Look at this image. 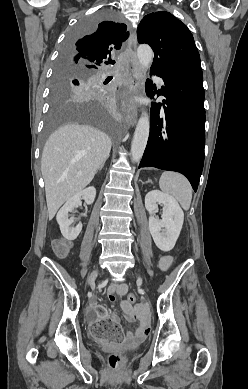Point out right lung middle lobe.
Instances as JSON below:
<instances>
[{
	"instance_id": "dd1d6c3e",
	"label": "right lung middle lobe",
	"mask_w": 248,
	"mask_h": 389,
	"mask_svg": "<svg viewBox=\"0 0 248 389\" xmlns=\"http://www.w3.org/2000/svg\"><path fill=\"white\" fill-rule=\"evenodd\" d=\"M109 18V12L99 11L93 15L86 16L81 19L76 28L69 34L67 41L63 48V54L66 53L71 44L78 38L86 33H90L95 30L98 24ZM104 22V21H103ZM80 78L81 86L90 81L93 71L84 70L80 67H69L63 64V56L59 59L56 70V77L54 83V91L51 100L50 112L48 117V126L45 132V137L57 126L70 122H84L97 125L106 131L112 133V125L110 118L105 112L96 106L93 102H66L65 90L66 87H62L66 82L65 78L69 75ZM74 85H79L78 80L73 81ZM64 91L59 95L58 89Z\"/></svg>"
}]
</instances>
